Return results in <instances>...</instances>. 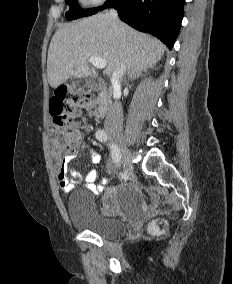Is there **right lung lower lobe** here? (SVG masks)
Listing matches in <instances>:
<instances>
[{
  "instance_id": "1",
  "label": "right lung lower lobe",
  "mask_w": 233,
  "mask_h": 284,
  "mask_svg": "<svg viewBox=\"0 0 233 284\" xmlns=\"http://www.w3.org/2000/svg\"><path fill=\"white\" fill-rule=\"evenodd\" d=\"M183 3L184 0H107L97 12L114 7L122 21L152 33L171 49L180 30Z\"/></svg>"
}]
</instances>
